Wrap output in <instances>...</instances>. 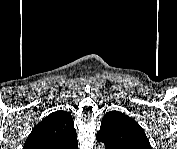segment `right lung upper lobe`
Instances as JSON below:
<instances>
[{
    "instance_id": "1",
    "label": "right lung upper lobe",
    "mask_w": 177,
    "mask_h": 149,
    "mask_svg": "<svg viewBox=\"0 0 177 149\" xmlns=\"http://www.w3.org/2000/svg\"><path fill=\"white\" fill-rule=\"evenodd\" d=\"M74 122L69 112L51 113L37 124L28 136L26 149H77Z\"/></svg>"
}]
</instances>
